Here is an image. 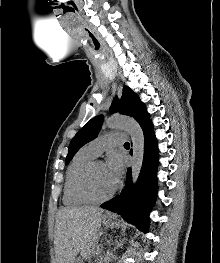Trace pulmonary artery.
Returning <instances> with one entry per match:
<instances>
[{"mask_svg":"<svg viewBox=\"0 0 220 263\" xmlns=\"http://www.w3.org/2000/svg\"><path fill=\"white\" fill-rule=\"evenodd\" d=\"M125 135L118 132L107 133L88 143L84 148L94 157L102 153L105 149L114 145L122 144Z\"/></svg>","mask_w":220,"mask_h":263,"instance_id":"obj_1","label":"pulmonary artery"}]
</instances>
